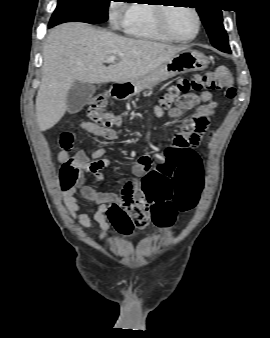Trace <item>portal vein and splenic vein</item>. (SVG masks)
Returning <instances> with one entry per match:
<instances>
[{
    "label": "portal vein and splenic vein",
    "instance_id": "18ae733b",
    "mask_svg": "<svg viewBox=\"0 0 270 338\" xmlns=\"http://www.w3.org/2000/svg\"><path fill=\"white\" fill-rule=\"evenodd\" d=\"M115 60H116V57L115 56H110V57H108L107 59H106V63H114L115 62Z\"/></svg>",
    "mask_w": 270,
    "mask_h": 338
}]
</instances>
